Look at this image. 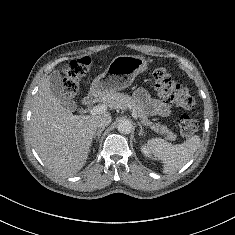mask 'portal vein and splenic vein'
I'll list each match as a JSON object with an SVG mask.
<instances>
[{
	"label": "portal vein and splenic vein",
	"mask_w": 235,
	"mask_h": 235,
	"mask_svg": "<svg viewBox=\"0 0 235 235\" xmlns=\"http://www.w3.org/2000/svg\"><path fill=\"white\" fill-rule=\"evenodd\" d=\"M107 111V105L106 104H100V105H97L95 107H93L91 110H90V114L91 115H97V114H102L104 112ZM132 111V116L134 118H137V113L134 109L131 110Z\"/></svg>",
	"instance_id": "18ae733b"
}]
</instances>
